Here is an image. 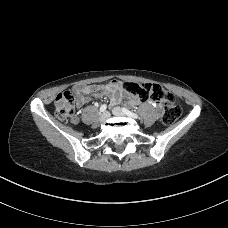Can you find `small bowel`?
I'll use <instances>...</instances> for the list:
<instances>
[{"label": "small bowel", "mask_w": 228, "mask_h": 228, "mask_svg": "<svg viewBox=\"0 0 228 228\" xmlns=\"http://www.w3.org/2000/svg\"><path fill=\"white\" fill-rule=\"evenodd\" d=\"M78 103H86L89 101L87 95L93 94L97 97L108 96L110 98L111 104L119 103L125 96L123 91L122 83L117 80H112L108 83L102 85H81L74 89ZM128 103L130 105H135L138 100L134 97H128ZM160 108L159 104H155Z\"/></svg>", "instance_id": "1"}]
</instances>
